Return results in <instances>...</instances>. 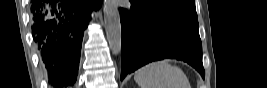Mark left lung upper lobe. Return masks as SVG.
<instances>
[{"mask_svg": "<svg viewBox=\"0 0 267 88\" xmlns=\"http://www.w3.org/2000/svg\"><path fill=\"white\" fill-rule=\"evenodd\" d=\"M142 15L171 18L198 24L195 0H130Z\"/></svg>", "mask_w": 267, "mask_h": 88, "instance_id": "5c2ea615", "label": "left lung upper lobe"}]
</instances>
